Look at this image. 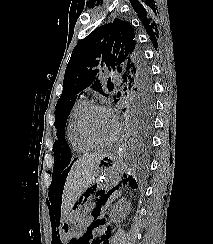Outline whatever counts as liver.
<instances>
[{
    "instance_id": "obj_1",
    "label": "liver",
    "mask_w": 213,
    "mask_h": 244,
    "mask_svg": "<svg viewBox=\"0 0 213 244\" xmlns=\"http://www.w3.org/2000/svg\"><path fill=\"white\" fill-rule=\"evenodd\" d=\"M106 155L105 152L84 154L74 162L68 173L62 194V220L66 218L74 203L92 184L98 166Z\"/></svg>"
}]
</instances>
